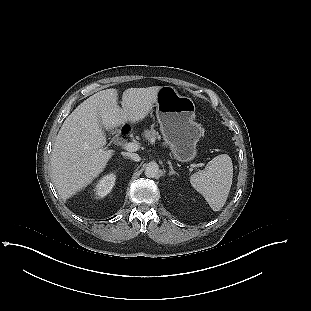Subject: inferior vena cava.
<instances>
[{
	"label": "inferior vena cava",
	"mask_w": 311,
	"mask_h": 311,
	"mask_svg": "<svg viewBox=\"0 0 311 311\" xmlns=\"http://www.w3.org/2000/svg\"><path fill=\"white\" fill-rule=\"evenodd\" d=\"M125 155H127L129 158L136 162H139L141 160V157L136 153H125Z\"/></svg>",
	"instance_id": "602c4592"
}]
</instances>
